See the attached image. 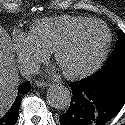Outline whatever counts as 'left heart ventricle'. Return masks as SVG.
Here are the masks:
<instances>
[{
  "mask_svg": "<svg viewBox=\"0 0 125 125\" xmlns=\"http://www.w3.org/2000/svg\"><path fill=\"white\" fill-rule=\"evenodd\" d=\"M105 39V30L101 25L86 27L61 51L58 66L67 72H76L85 68L97 59Z\"/></svg>",
  "mask_w": 125,
  "mask_h": 125,
  "instance_id": "b2bd125f",
  "label": "left heart ventricle"
}]
</instances>
